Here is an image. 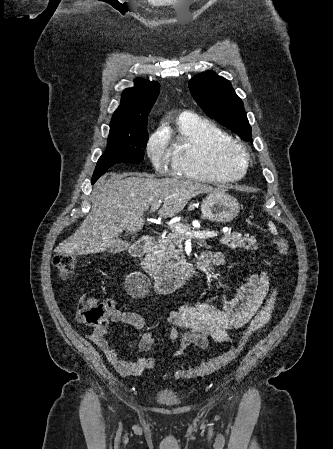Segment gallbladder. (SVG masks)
Instances as JSON below:
<instances>
[{"instance_id":"1","label":"gallbladder","mask_w":333,"mask_h":449,"mask_svg":"<svg viewBox=\"0 0 333 449\" xmlns=\"http://www.w3.org/2000/svg\"><path fill=\"white\" fill-rule=\"evenodd\" d=\"M128 243L125 240L118 239L114 244L108 247L105 251L110 253H121L127 249Z\"/></svg>"}]
</instances>
